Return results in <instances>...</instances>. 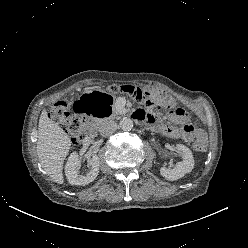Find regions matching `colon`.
<instances>
[{
    "label": "colon",
    "mask_w": 248,
    "mask_h": 248,
    "mask_svg": "<svg viewBox=\"0 0 248 248\" xmlns=\"http://www.w3.org/2000/svg\"><path fill=\"white\" fill-rule=\"evenodd\" d=\"M112 91H122L137 101L152 106L160 113H168L172 117L180 119L187 118L186 112L177 107L175 100L163 91L145 90L132 85H124L121 87L113 86ZM50 116L55 122L63 127L74 144H78L81 141V121L71 113L69 106L64 101H58L52 106ZM205 147L206 140L199 139L193 144V149L197 152L204 151Z\"/></svg>",
    "instance_id": "1"
}]
</instances>
